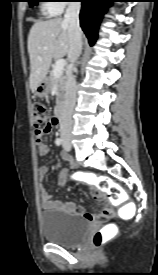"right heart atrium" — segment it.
<instances>
[{"label":"right heart atrium","mask_w":158,"mask_h":275,"mask_svg":"<svg viewBox=\"0 0 158 275\" xmlns=\"http://www.w3.org/2000/svg\"><path fill=\"white\" fill-rule=\"evenodd\" d=\"M72 0H53V3H47L46 8L51 14L60 13L63 8Z\"/></svg>","instance_id":"obj_1"}]
</instances>
